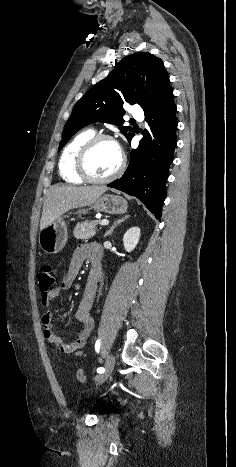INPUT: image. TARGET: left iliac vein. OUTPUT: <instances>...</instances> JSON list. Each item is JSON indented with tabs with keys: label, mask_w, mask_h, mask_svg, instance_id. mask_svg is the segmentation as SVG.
<instances>
[{
	"label": "left iliac vein",
	"mask_w": 236,
	"mask_h": 467,
	"mask_svg": "<svg viewBox=\"0 0 236 467\" xmlns=\"http://www.w3.org/2000/svg\"><path fill=\"white\" fill-rule=\"evenodd\" d=\"M114 366H115V358L112 354H109L106 357L104 372L98 375L96 378L97 384H102L109 378V376L112 374L114 370Z\"/></svg>",
	"instance_id": "left-iliac-vein-1"
}]
</instances>
